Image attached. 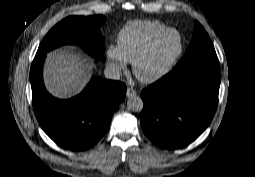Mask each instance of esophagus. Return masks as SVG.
I'll return each instance as SVG.
<instances>
[{
  "instance_id": "obj_1",
  "label": "esophagus",
  "mask_w": 255,
  "mask_h": 177,
  "mask_svg": "<svg viewBox=\"0 0 255 177\" xmlns=\"http://www.w3.org/2000/svg\"><path fill=\"white\" fill-rule=\"evenodd\" d=\"M136 94H137V92L134 89H132V88L127 89L126 96L128 98L136 96Z\"/></svg>"
}]
</instances>
